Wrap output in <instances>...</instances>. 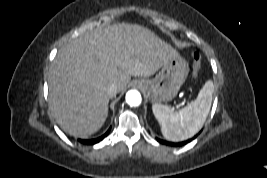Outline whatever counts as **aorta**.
<instances>
[{
  "label": "aorta",
  "mask_w": 267,
  "mask_h": 178,
  "mask_svg": "<svg viewBox=\"0 0 267 178\" xmlns=\"http://www.w3.org/2000/svg\"><path fill=\"white\" fill-rule=\"evenodd\" d=\"M126 102L132 107L139 106L142 102L141 94L137 90H129L126 93Z\"/></svg>",
  "instance_id": "aorta-1"
}]
</instances>
